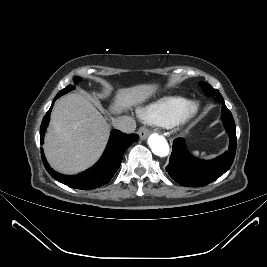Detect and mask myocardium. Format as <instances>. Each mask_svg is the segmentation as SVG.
<instances>
[{"mask_svg": "<svg viewBox=\"0 0 267 267\" xmlns=\"http://www.w3.org/2000/svg\"><path fill=\"white\" fill-rule=\"evenodd\" d=\"M200 108V104L197 101L188 102L171 125L178 126L194 118L200 112Z\"/></svg>", "mask_w": 267, "mask_h": 267, "instance_id": "f54148a6", "label": "myocardium"}]
</instances>
